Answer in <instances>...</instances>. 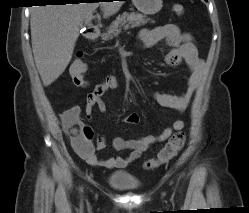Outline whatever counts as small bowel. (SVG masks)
I'll return each mask as SVG.
<instances>
[{"label":"small bowel","mask_w":249,"mask_h":213,"mask_svg":"<svg viewBox=\"0 0 249 213\" xmlns=\"http://www.w3.org/2000/svg\"><path fill=\"white\" fill-rule=\"evenodd\" d=\"M160 41H165L171 47V51L166 57L169 65H177L184 62L189 77L186 89L181 94H169L162 92L152 93V98L161 106L172 109L178 113L183 112L190 104L192 97L199 84L203 61L198 56L197 46L191 34L183 32L175 24H166L154 29H143L140 32V39L137 47L140 49L151 48ZM118 86L116 76H108L104 81L98 84L93 91L86 97L85 112L89 116L94 107H97L101 113L106 111V105L103 96L109 90ZM81 108L79 106L71 107L61 114L63 129L71 135L72 147L76 153L83 158L89 165L95 167L120 169L127 167L146 152L151 145L167 140L174 132L180 131L185 127L183 120H175L172 125L166 127L157 135L138 137L130 140L115 138L113 148L117 151L128 150L126 156H116L101 158L96 151L106 149V139L103 135L96 137L95 145L93 144L94 132L92 128L81 119ZM139 117L132 113L123 119V122L136 124ZM72 131H74L72 133ZM81 139V145H77L76 137Z\"/></svg>","instance_id":"obj_1"}]
</instances>
